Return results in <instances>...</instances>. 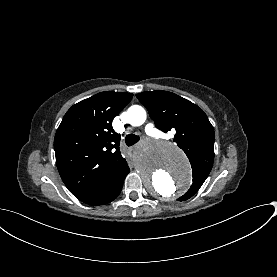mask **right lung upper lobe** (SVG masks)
<instances>
[{
	"label": "right lung upper lobe",
	"instance_id": "1",
	"mask_svg": "<svg viewBox=\"0 0 277 277\" xmlns=\"http://www.w3.org/2000/svg\"><path fill=\"white\" fill-rule=\"evenodd\" d=\"M133 94L101 92L73 105L54 139L56 165L69 191L79 200L109 183L126 164L113 118Z\"/></svg>",
	"mask_w": 277,
	"mask_h": 277
}]
</instances>
